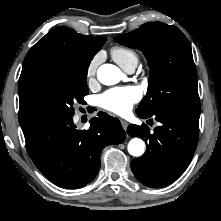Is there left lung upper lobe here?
I'll return each mask as SVG.
<instances>
[{
	"label": "left lung upper lobe",
	"mask_w": 221,
	"mask_h": 221,
	"mask_svg": "<svg viewBox=\"0 0 221 221\" xmlns=\"http://www.w3.org/2000/svg\"><path fill=\"white\" fill-rule=\"evenodd\" d=\"M114 41L142 50L148 60V91L136 112L148 114L154 107H166L200 114L192 50L180 29L161 22H151L115 37Z\"/></svg>",
	"instance_id": "left-lung-upper-lobe-1"
}]
</instances>
